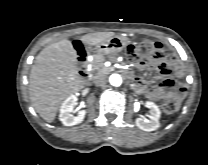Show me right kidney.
Listing matches in <instances>:
<instances>
[{
    "instance_id": "obj_1",
    "label": "right kidney",
    "mask_w": 208,
    "mask_h": 165,
    "mask_svg": "<svg viewBox=\"0 0 208 165\" xmlns=\"http://www.w3.org/2000/svg\"><path fill=\"white\" fill-rule=\"evenodd\" d=\"M77 102V97L74 95L69 96L61 105L59 120L65 126H73L81 123L86 115L85 110H80L76 116L71 113L74 111V107Z\"/></svg>"
}]
</instances>
